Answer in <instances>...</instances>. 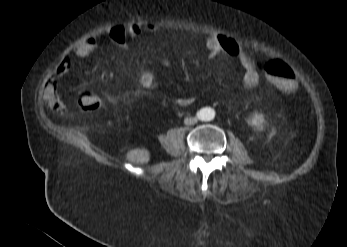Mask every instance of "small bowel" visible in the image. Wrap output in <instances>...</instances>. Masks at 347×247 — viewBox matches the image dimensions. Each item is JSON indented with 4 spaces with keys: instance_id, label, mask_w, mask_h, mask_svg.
Here are the masks:
<instances>
[{
    "instance_id": "small-bowel-1",
    "label": "small bowel",
    "mask_w": 347,
    "mask_h": 247,
    "mask_svg": "<svg viewBox=\"0 0 347 247\" xmlns=\"http://www.w3.org/2000/svg\"><path fill=\"white\" fill-rule=\"evenodd\" d=\"M157 30L158 27L151 23L140 24L135 22L130 23L126 28L121 25H112L104 31L102 36L91 37L86 41L78 42L74 46L73 52L78 57H87L100 47L102 37L110 40L116 45L125 46L128 37L140 38L144 32H157ZM205 47L208 50L209 56L213 59L220 56H228L236 59L244 68V73L241 77L242 86L247 90H252L257 87L259 84V76L256 71L255 60L238 44L235 39L225 35H212L207 37L205 40ZM70 68V61L68 59L63 60L44 89L47 105L59 114H63L65 109L57 98V81L60 77L65 75ZM159 84V78L155 73L145 72L140 77L139 89L154 90L159 86ZM86 92L91 91H82V93ZM193 103V96H184L176 99V104L181 107H188Z\"/></svg>"
}]
</instances>
